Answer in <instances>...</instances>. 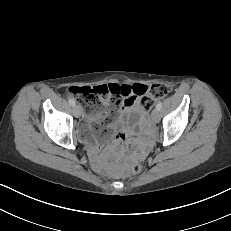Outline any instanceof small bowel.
<instances>
[{"mask_svg":"<svg viewBox=\"0 0 231 231\" xmlns=\"http://www.w3.org/2000/svg\"><path fill=\"white\" fill-rule=\"evenodd\" d=\"M123 86L131 88L133 85H123ZM133 95H134L133 92L130 90L129 94L126 95L125 97L124 104L122 105L121 116L116 120H112L111 123L105 126L103 142H101L99 145L93 148L92 150L93 159L98 165H102V163L98 160V155L101 152L105 141H108L111 137H113V146H118L127 136L132 135L136 132L135 124L137 120L141 116H143V113L137 109L136 100H134V103L131 107L127 105L126 103L127 98ZM107 117H108V113L106 110H104L97 117L94 118L87 117L85 122L86 124L91 125L97 131V128H95V126L98 125L99 122L106 119ZM122 136H124V138ZM145 149H146V144L140 147V151H144Z\"/></svg>","mask_w":231,"mask_h":231,"instance_id":"obj_1","label":"small bowel"}]
</instances>
